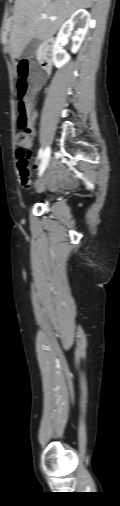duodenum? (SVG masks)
I'll return each instance as SVG.
<instances>
[{"instance_id": "410a0bca", "label": "duodenum", "mask_w": 120, "mask_h": 506, "mask_svg": "<svg viewBox=\"0 0 120 506\" xmlns=\"http://www.w3.org/2000/svg\"><path fill=\"white\" fill-rule=\"evenodd\" d=\"M54 54V43L51 39L45 41L42 46L41 66L44 72L49 73Z\"/></svg>"}]
</instances>
